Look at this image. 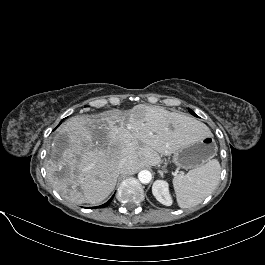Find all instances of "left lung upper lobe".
<instances>
[{
    "instance_id": "obj_1",
    "label": "left lung upper lobe",
    "mask_w": 265,
    "mask_h": 265,
    "mask_svg": "<svg viewBox=\"0 0 265 265\" xmlns=\"http://www.w3.org/2000/svg\"><path fill=\"white\" fill-rule=\"evenodd\" d=\"M189 110V112L192 114V115H194V116H197L191 109H188Z\"/></svg>"
}]
</instances>
